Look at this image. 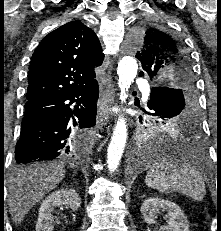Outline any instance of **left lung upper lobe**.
Returning <instances> with one entry per match:
<instances>
[{"label": "left lung upper lobe", "mask_w": 221, "mask_h": 231, "mask_svg": "<svg viewBox=\"0 0 221 231\" xmlns=\"http://www.w3.org/2000/svg\"><path fill=\"white\" fill-rule=\"evenodd\" d=\"M138 46L136 58L151 80L166 84L173 91V101L149 105L148 115L154 119H168L179 115L185 107L195 104L196 92L191 57L183 43L165 28L147 25L135 33ZM143 76V72L140 73ZM173 112L171 114H168ZM158 122V121H156Z\"/></svg>", "instance_id": "left-lung-upper-lobe-1"}]
</instances>
